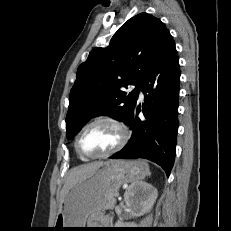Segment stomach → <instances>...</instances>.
Instances as JSON below:
<instances>
[{
  "label": "stomach",
  "mask_w": 231,
  "mask_h": 231,
  "mask_svg": "<svg viewBox=\"0 0 231 231\" xmlns=\"http://www.w3.org/2000/svg\"><path fill=\"white\" fill-rule=\"evenodd\" d=\"M148 174L149 166L144 160L106 162L68 191L56 216L54 230L85 228L89 216L107 208L110 196L117 193L122 184L142 180Z\"/></svg>",
  "instance_id": "1"
}]
</instances>
